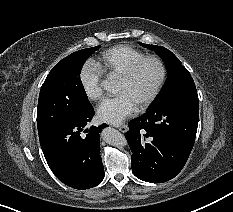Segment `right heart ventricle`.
I'll return each mask as SVG.
<instances>
[{"label":"right heart ventricle","instance_id":"e07e8e85","mask_svg":"<svg viewBox=\"0 0 233 212\" xmlns=\"http://www.w3.org/2000/svg\"><path fill=\"white\" fill-rule=\"evenodd\" d=\"M146 54L134 47L119 45L104 51L96 62L99 69L108 75H122L131 64Z\"/></svg>","mask_w":233,"mask_h":212}]
</instances>
